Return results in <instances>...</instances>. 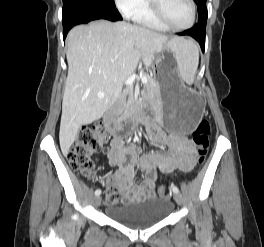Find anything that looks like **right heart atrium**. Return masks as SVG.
<instances>
[{
    "instance_id": "1",
    "label": "right heart atrium",
    "mask_w": 264,
    "mask_h": 247,
    "mask_svg": "<svg viewBox=\"0 0 264 247\" xmlns=\"http://www.w3.org/2000/svg\"><path fill=\"white\" fill-rule=\"evenodd\" d=\"M145 0H114L119 11L126 17L132 16V14L140 8Z\"/></svg>"
}]
</instances>
